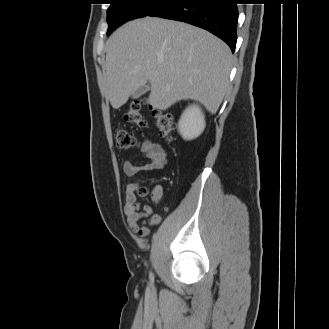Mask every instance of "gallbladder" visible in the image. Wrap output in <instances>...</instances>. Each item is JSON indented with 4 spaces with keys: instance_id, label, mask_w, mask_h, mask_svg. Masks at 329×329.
Segmentation results:
<instances>
[{
    "instance_id": "gallbladder-1",
    "label": "gallbladder",
    "mask_w": 329,
    "mask_h": 329,
    "mask_svg": "<svg viewBox=\"0 0 329 329\" xmlns=\"http://www.w3.org/2000/svg\"><path fill=\"white\" fill-rule=\"evenodd\" d=\"M149 90H150V84H144V85L140 86L139 88H137L132 93V98L133 99H137V98H139L140 96H142L143 94H145Z\"/></svg>"
}]
</instances>
